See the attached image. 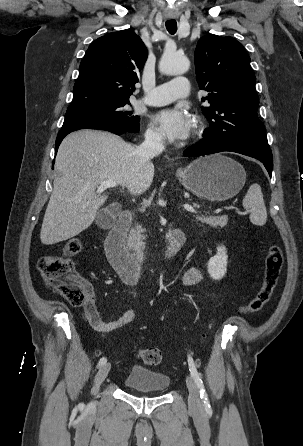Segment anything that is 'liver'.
Here are the masks:
<instances>
[{
    "label": "liver",
    "mask_w": 303,
    "mask_h": 446,
    "mask_svg": "<svg viewBox=\"0 0 303 446\" xmlns=\"http://www.w3.org/2000/svg\"><path fill=\"white\" fill-rule=\"evenodd\" d=\"M55 165L62 176L54 179L44 215L40 232L44 245L73 238L93 223L108 198L96 192L101 181H116L139 195L154 177L151 161L141 163L133 145L104 131L69 134L59 146Z\"/></svg>",
    "instance_id": "6515ba94"
}]
</instances>
